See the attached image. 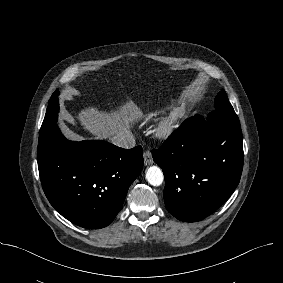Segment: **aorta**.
Returning <instances> with one entry per match:
<instances>
[{
	"label": "aorta",
	"mask_w": 283,
	"mask_h": 283,
	"mask_svg": "<svg viewBox=\"0 0 283 283\" xmlns=\"http://www.w3.org/2000/svg\"><path fill=\"white\" fill-rule=\"evenodd\" d=\"M146 179L152 186H160L163 183V172L158 166H151L147 169Z\"/></svg>",
	"instance_id": "1"
}]
</instances>
